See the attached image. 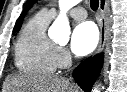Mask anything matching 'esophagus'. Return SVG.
Returning a JSON list of instances; mask_svg holds the SVG:
<instances>
[{"instance_id": "esophagus-1", "label": "esophagus", "mask_w": 127, "mask_h": 92, "mask_svg": "<svg viewBox=\"0 0 127 92\" xmlns=\"http://www.w3.org/2000/svg\"><path fill=\"white\" fill-rule=\"evenodd\" d=\"M108 9L109 1L108 0H99V10L101 13L100 21V40L96 53H100L106 44L109 29H108Z\"/></svg>"}]
</instances>
